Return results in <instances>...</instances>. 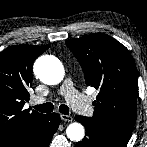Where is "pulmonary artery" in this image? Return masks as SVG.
I'll list each match as a JSON object with an SVG mask.
<instances>
[{
    "mask_svg": "<svg viewBox=\"0 0 147 147\" xmlns=\"http://www.w3.org/2000/svg\"><path fill=\"white\" fill-rule=\"evenodd\" d=\"M60 94L66 99L71 107L84 115L92 113V107L86 100V98L79 93L73 85L71 79H66L60 87ZM45 101V98L37 96L34 99L36 104H41Z\"/></svg>",
    "mask_w": 147,
    "mask_h": 147,
    "instance_id": "1",
    "label": "pulmonary artery"
}]
</instances>
